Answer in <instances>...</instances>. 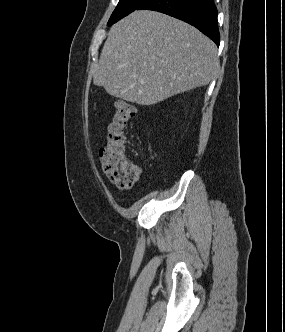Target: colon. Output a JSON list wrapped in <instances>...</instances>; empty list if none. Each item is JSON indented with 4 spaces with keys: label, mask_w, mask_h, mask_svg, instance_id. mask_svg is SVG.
I'll return each instance as SVG.
<instances>
[{
    "label": "colon",
    "mask_w": 285,
    "mask_h": 332,
    "mask_svg": "<svg viewBox=\"0 0 285 332\" xmlns=\"http://www.w3.org/2000/svg\"><path fill=\"white\" fill-rule=\"evenodd\" d=\"M134 104L118 100L106 141L99 152V159L108 179L117 187L129 189L139 182L141 168L126 155L125 128L135 117Z\"/></svg>",
    "instance_id": "5ec220e1"
}]
</instances>
